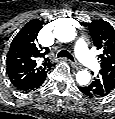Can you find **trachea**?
Returning a JSON list of instances; mask_svg holds the SVG:
<instances>
[{"instance_id":"obj_1","label":"trachea","mask_w":115,"mask_h":119,"mask_svg":"<svg viewBox=\"0 0 115 119\" xmlns=\"http://www.w3.org/2000/svg\"><path fill=\"white\" fill-rule=\"evenodd\" d=\"M61 57H66L70 60H74L73 56L67 50H61L58 53L57 58H61Z\"/></svg>"}]
</instances>
